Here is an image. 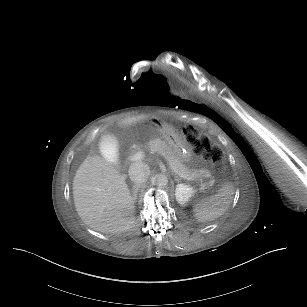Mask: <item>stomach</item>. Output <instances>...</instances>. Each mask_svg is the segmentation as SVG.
<instances>
[{
	"instance_id": "1",
	"label": "stomach",
	"mask_w": 307,
	"mask_h": 307,
	"mask_svg": "<svg viewBox=\"0 0 307 307\" xmlns=\"http://www.w3.org/2000/svg\"><path fill=\"white\" fill-rule=\"evenodd\" d=\"M160 131L175 155L182 162H189L191 158V149L184 136L176 128L166 123H162Z\"/></svg>"
}]
</instances>
